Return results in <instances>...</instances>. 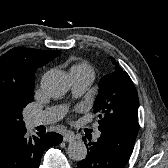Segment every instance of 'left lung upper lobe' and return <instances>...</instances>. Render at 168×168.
Segmentation results:
<instances>
[{"instance_id":"5c2ea615","label":"left lung upper lobe","mask_w":168,"mask_h":168,"mask_svg":"<svg viewBox=\"0 0 168 168\" xmlns=\"http://www.w3.org/2000/svg\"><path fill=\"white\" fill-rule=\"evenodd\" d=\"M111 60L115 71L101 79L94 104V113L100 118L98 129L115 128L137 136L139 99L136 88L127 72L114 58Z\"/></svg>"}]
</instances>
